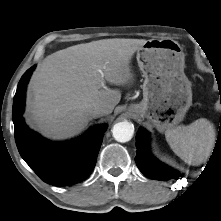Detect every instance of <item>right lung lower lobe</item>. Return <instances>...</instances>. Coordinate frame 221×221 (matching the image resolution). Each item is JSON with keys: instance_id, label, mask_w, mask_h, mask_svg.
Segmentation results:
<instances>
[{"instance_id": "98d812e1", "label": "right lung lower lobe", "mask_w": 221, "mask_h": 221, "mask_svg": "<svg viewBox=\"0 0 221 221\" xmlns=\"http://www.w3.org/2000/svg\"><path fill=\"white\" fill-rule=\"evenodd\" d=\"M35 66L22 76L13 101L14 135L21 157L44 182L54 186L79 183L92 172L107 126H95L69 142L54 143L30 130L22 117L25 90Z\"/></svg>"}]
</instances>
